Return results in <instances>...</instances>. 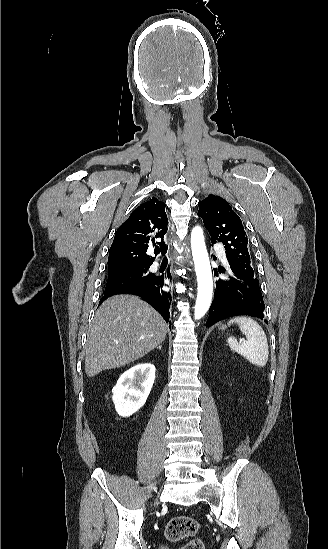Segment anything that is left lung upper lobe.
I'll list each match as a JSON object with an SVG mask.
<instances>
[{"label":"left lung upper lobe","mask_w":328,"mask_h":549,"mask_svg":"<svg viewBox=\"0 0 328 549\" xmlns=\"http://www.w3.org/2000/svg\"><path fill=\"white\" fill-rule=\"evenodd\" d=\"M197 213L211 236V243L225 245L228 262L254 274L250 266L248 239L242 221L223 198L209 195L199 202Z\"/></svg>","instance_id":"1"}]
</instances>
